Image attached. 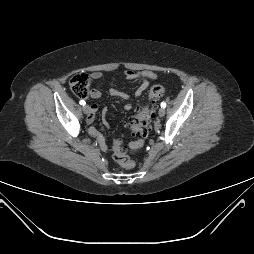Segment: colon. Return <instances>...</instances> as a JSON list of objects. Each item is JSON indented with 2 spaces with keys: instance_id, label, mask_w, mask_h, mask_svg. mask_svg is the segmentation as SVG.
<instances>
[{
  "instance_id": "1",
  "label": "colon",
  "mask_w": 254,
  "mask_h": 254,
  "mask_svg": "<svg viewBox=\"0 0 254 254\" xmlns=\"http://www.w3.org/2000/svg\"><path fill=\"white\" fill-rule=\"evenodd\" d=\"M71 91L77 97L85 98L89 93L90 80L87 75L79 74L73 76L69 81ZM165 94L162 86H153L148 93L149 103L139 107L129 121V129L134 136L146 137L151 128L152 118L154 116L155 101ZM114 160L123 169H132L134 162L127 155L125 146L116 141L112 147Z\"/></svg>"
}]
</instances>
